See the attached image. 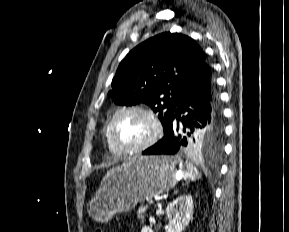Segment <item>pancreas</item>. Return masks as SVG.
I'll return each mask as SVG.
<instances>
[{
    "label": "pancreas",
    "instance_id": "cf45deb5",
    "mask_svg": "<svg viewBox=\"0 0 289 232\" xmlns=\"http://www.w3.org/2000/svg\"><path fill=\"white\" fill-rule=\"evenodd\" d=\"M147 206H142L139 208L137 215L138 218H143V214L146 212Z\"/></svg>",
    "mask_w": 289,
    "mask_h": 232
}]
</instances>
